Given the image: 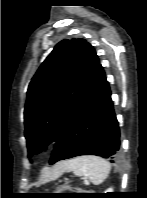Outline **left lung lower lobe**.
<instances>
[{
    "label": "left lung lower lobe",
    "instance_id": "1",
    "mask_svg": "<svg viewBox=\"0 0 147 198\" xmlns=\"http://www.w3.org/2000/svg\"><path fill=\"white\" fill-rule=\"evenodd\" d=\"M119 150V124L109 84L99 63L94 82L63 136L54 146L49 163L54 164L80 155H97L113 159Z\"/></svg>",
    "mask_w": 147,
    "mask_h": 198
}]
</instances>
